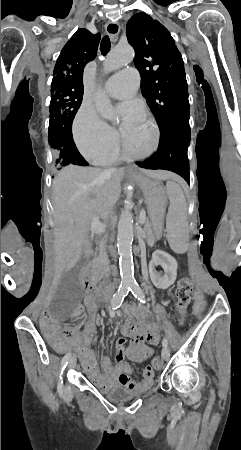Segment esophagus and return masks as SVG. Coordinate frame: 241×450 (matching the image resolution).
<instances>
[{"label":"esophagus","mask_w":241,"mask_h":450,"mask_svg":"<svg viewBox=\"0 0 241 450\" xmlns=\"http://www.w3.org/2000/svg\"><path fill=\"white\" fill-rule=\"evenodd\" d=\"M105 30L111 39H115L120 32V26L116 22H107L105 25Z\"/></svg>","instance_id":"1"}]
</instances>
